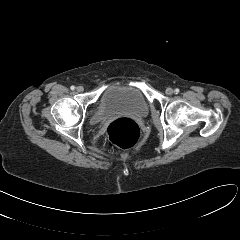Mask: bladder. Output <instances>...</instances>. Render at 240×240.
<instances>
[{
	"mask_svg": "<svg viewBox=\"0 0 240 240\" xmlns=\"http://www.w3.org/2000/svg\"><path fill=\"white\" fill-rule=\"evenodd\" d=\"M149 114V106L142 93L132 86L112 87L103 92L96 110V118L109 119L128 115L143 119Z\"/></svg>",
	"mask_w": 240,
	"mask_h": 240,
	"instance_id": "obj_1",
	"label": "bladder"
}]
</instances>
